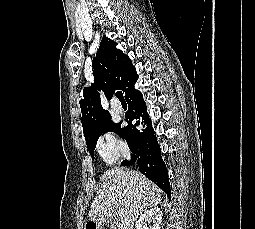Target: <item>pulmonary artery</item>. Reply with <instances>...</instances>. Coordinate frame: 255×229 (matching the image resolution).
<instances>
[{"label":"pulmonary artery","instance_id":"1","mask_svg":"<svg viewBox=\"0 0 255 229\" xmlns=\"http://www.w3.org/2000/svg\"><path fill=\"white\" fill-rule=\"evenodd\" d=\"M111 108H112V110H113L115 113L120 114V113L123 112V107H122V105H121L120 103H118V102L113 101V102L111 103Z\"/></svg>","mask_w":255,"mask_h":229}]
</instances>
